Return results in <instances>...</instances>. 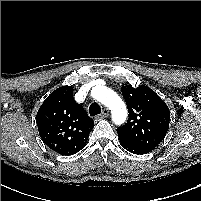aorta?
I'll return each instance as SVG.
<instances>
[{"mask_svg":"<svg viewBox=\"0 0 201 201\" xmlns=\"http://www.w3.org/2000/svg\"><path fill=\"white\" fill-rule=\"evenodd\" d=\"M92 96L111 110L114 123L122 124L126 121V105L113 90L98 86L92 90Z\"/></svg>","mask_w":201,"mask_h":201,"instance_id":"1","label":"aorta"}]
</instances>
